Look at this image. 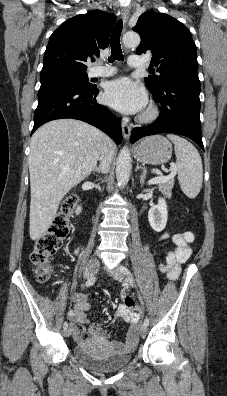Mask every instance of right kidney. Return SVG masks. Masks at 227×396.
Returning a JSON list of instances; mask_svg holds the SVG:
<instances>
[{
  "label": "right kidney",
  "mask_w": 227,
  "mask_h": 396,
  "mask_svg": "<svg viewBox=\"0 0 227 396\" xmlns=\"http://www.w3.org/2000/svg\"><path fill=\"white\" fill-rule=\"evenodd\" d=\"M81 212V207H78L76 210V214H79Z\"/></svg>",
  "instance_id": "right-kidney-1"
}]
</instances>
